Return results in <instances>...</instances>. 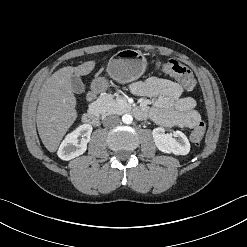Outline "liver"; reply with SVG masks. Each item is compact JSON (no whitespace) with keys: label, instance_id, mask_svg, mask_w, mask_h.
<instances>
[{"label":"liver","instance_id":"liver-1","mask_svg":"<svg viewBox=\"0 0 247 247\" xmlns=\"http://www.w3.org/2000/svg\"><path fill=\"white\" fill-rule=\"evenodd\" d=\"M94 67L95 61L84 62L77 67H63L44 82L39 93L36 123L42 143L49 152L57 150L77 118L72 77L88 75Z\"/></svg>","mask_w":247,"mask_h":247}]
</instances>
